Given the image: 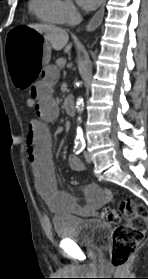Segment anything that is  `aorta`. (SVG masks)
<instances>
[{
  "label": "aorta",
  "instance_id": "1",
  "mask_svg": "<svg viewBox=\"0 0 148 279\" xmlns=\"http://www.w3.org/2000/svg\"><path fill=\"white\" fill-rule=\"evenodd\" d=\"M84 109V104H83V99L82 98H77L76 100V110L77 112L81 115ZM77 121L80 123L81 122V117L79 116L77 118ZM84 143L83 140V135H82V129L81 127H77V136H76V144L79 146H82Z\"/></svg>",
  "mask_w": 148,
  "mask_h": 279
}]
</instances>
